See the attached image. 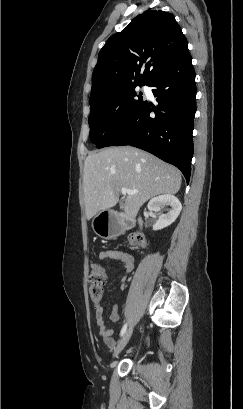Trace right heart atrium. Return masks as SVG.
Masks as SVG:
<instances>
[{"label":"right heart atrium","instance_id":"right-heart-atrium-1","mask_svg":"<svg viewBox=\"0 0 243 409\" xmlns=\"http://www.w3.org/2000/svg\"><path fill=\"white\" fill-rule=\"evenodd\" d=\"M112 119L114 122H118L120 120V111L115 110L112 114Z\"/></svg>","mask_w":243,"mask_h":409}]
</instances>
